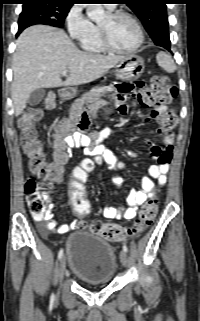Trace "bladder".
Masks as SVG:
<instances>
[{
  "instance_id": "31cf9c89",
  "label": "bladder",
  "mask_w": 200,
  "mask_h": 321,
  "mask_svg": "<svg viewBox=\"0 0 200 321\" xmlns=\"http://www.w3.org/2000/svg\"><path fill=\"white\" fill-rule=\"evenodd\" d=\"M66 256L71 272L87 284L108 283L116 270L114 248L87 231H75L68 236Z\"/></svg>"
}]
</instances>
